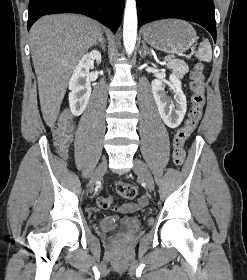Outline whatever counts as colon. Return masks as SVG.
<instances>
[{
    "label": "colon",
    "instance_id": "colon-1",
    "mask_svg": "<svg viewBox=\"0 0 247 280\" xmlns=\"http://www.w3.org/2000/svg\"><path fill=\"white\" fill-rule=\"evenodd\" d=\"M190 89L192 91L191 108L185 124L177 130L173 138V162L181 166L185 160L184 144L197 127L201 120L205 105V77L203 65L197 64L190 77ZM54 142L61 154H64L72 141V116L68 111H63L53 126ZM118 194L126 199H133L137 196V188L130 183L121 182L117 185ZM104 205V201L100 202Z\"/></svg>",
    "mask_w": 247,
    "mask_h": 280
}]
</instances>
